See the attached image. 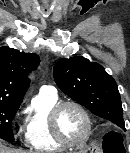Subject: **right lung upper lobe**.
<instances>
[{
  "mask_svg": "<svg viewBox=\"0 0 130 153\" xmlns=\"http://www.w3.org/2000/svg\"><path fill=\"white\" fill-rule=\"evenodd\" d=\"M40 62L38 55L0 48V101L21 103L28 88V72Z\"/></svg>",
  "mask_w": 130,
  "mask_h": 153,
  "instance_id": "1",
  "label": "right lung upper lobe"
}]
</instances>
